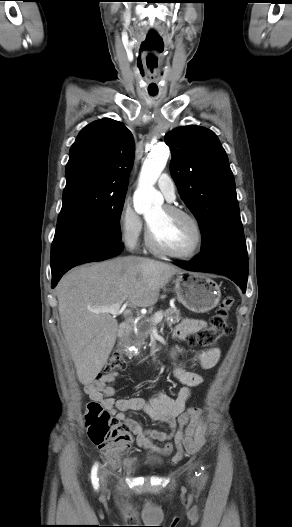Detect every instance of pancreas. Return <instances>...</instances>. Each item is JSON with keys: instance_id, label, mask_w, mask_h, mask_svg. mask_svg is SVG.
<instances>
[{"instance_id": "cf45deb5", "label": "pancreas", "mask_w": 292, "mask_h": 527, "mask_svg": "<svg viewBox=\"0 0 292 527\" xmlns=\"http://www.w3.org/2000/svg\"><path fill=\"white\" fill-rule=\"evenodd\" d=\"M160 313L163 314V316L165 317L164 322H166L169 326L176 324L181 320L180 310L176 308H168L165 311H160ZM155 316L156 314L152 315L150 318L141 320L137 323V333L133 336V338H135L136 343L144 344L145 340L148 338L149 334L155 326Z\"/></svg>"}]
</instances>
